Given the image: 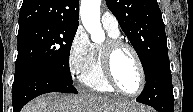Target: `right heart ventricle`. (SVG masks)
<instances>
[{"instance_id":"right-heart-ventricle-1","label":"right heart ventricle","mask_w":193,"mask_h":112,"mask_svg":"<svg viewBox=\"0 0 193 112\" xmlns=\"http://www.w3.org/2000/svg\"><path fill=\"white\" fill-rule=\"evenodd\" d=\"M110 38H118L119 33L115 34L108 31ZM101 45L92 44V51L88 67L81 75V82L89 89L101 93H114L115 90L106 81L101 65Z\"/></svg>"}]
</instances>
